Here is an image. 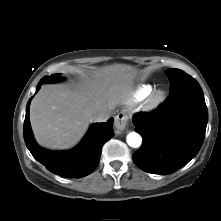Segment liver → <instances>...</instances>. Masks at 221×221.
Segmentation results:
<instances>
[{"label":"liver","mask_w":221,"mask_h":221,"mask_svg":"<svg viewBox=\"0 0 221 221\" xmlns=\"http://www.w3.org/2000/svg\"><path fill=\"white\" fill-rule=\"evenodd\" d=\"M135 70L115 64L97 71L92 80L70 88L47 85L35 95L30 106V122L39 145L49 149H68L86 132L90 117L127 103Z\"/></svg>","instance_id":"liver-1"}]
</instances>
